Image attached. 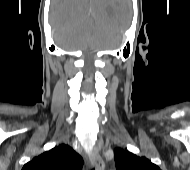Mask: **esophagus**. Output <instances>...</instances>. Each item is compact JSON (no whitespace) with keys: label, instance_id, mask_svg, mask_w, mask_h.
Instances as JSON below:
<instances>
[{"label":"esophagus","instance_id":"esophagus-1","mask_svg":"<svg viewBox=\"0 0 190 170\" xmlns=\"http://www.w3.org/2000/svg\"><path fill=\"white\" fill-rule=\"evenodd\" d=\"M88 159L94 164L96 170H105V163L96 150L88 153Z\"/></svg>","mask_w":190,"mask_h":170}]
</instances>
